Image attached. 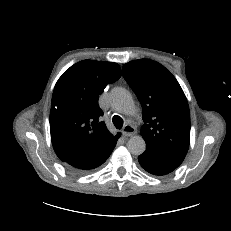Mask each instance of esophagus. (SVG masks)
I'll return each instance as SVG.
<instances>
[{
  "label": "esophagus",
  "mask_w": 231,
  "mask_h": 231,
  "mask_svg": "<svg viewBox=\"0 0 231 231\" xmlns=\"http://www.w3.org/2000/svg\"><path fill=\"white\" fill-rule=\"evenodd\" d=\"M122 133L124 136L130 137L136 133V129L132 125L127 124L124 126Z\"/></svg>",
  "instance_id": "34e87169"
}]
</instances>
